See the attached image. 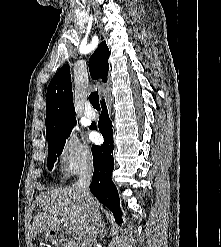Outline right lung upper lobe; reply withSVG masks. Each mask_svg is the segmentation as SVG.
Masks as SVG:
<instances>
[{
	"label": "right lung upper lobe",
	"instance_id": "1",
	"mask_svg": "<svg viewBox=\"0 0 221 247\" xmlns=\"http://www.w3.org/2000/svg\"><path fill=\"white\" fill-rule=\"evenodd\" d=\"M109 49L102 42L89 59V70L93 79L107 81ZM72 99V83L69 65H64L49 83L46 95V138L61 133L75 123Z\"/></svg>",
	"mask_w": 221,
	"mask_h": 247
}]
</instances>
